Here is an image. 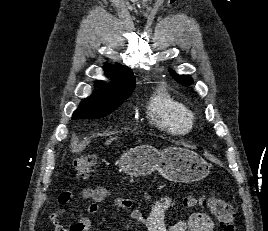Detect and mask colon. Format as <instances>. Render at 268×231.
Returning <instances> with one entry per match:
<instances>
[{"instance_id":"1","label":"colon","mask_w":268,"mask_h":231,"mask_svg":"<svg viewBox=\"0 0 268 231\" xmlns=\"http://www.w3.org/2000/svg\"><path fill=\"white\" fill-rule=\"evenodd\" d=\"M95 159L90 155H83L75 159L73 168L75 173L80 178H86L92 171ZM183 204L187 207L199 205L208 209L217 218L219 227L223 231H235V211L231 204L222 199L205 196H186Z\"/></svg>"}]
</instances>
